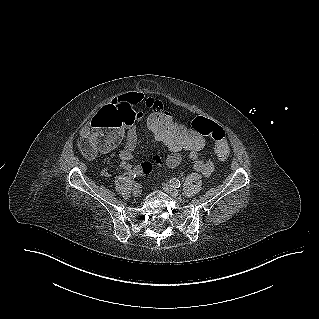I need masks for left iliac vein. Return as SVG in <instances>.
Segmentation results:
<instances>
[{"instance_id": "4c4485c4", "label": "left iliac vein", "mask_w": 319, "mask_h": 319, "mask_svg": "<svg viewBox=\"0 0 319 319\" xmlns=\"http://www.w3.org/2000/svg\"><path fill=\"white\" fill-rule=\"evenodd\" d=\"M163 189L172 197H178L179 191L169 183H163Z\"/></svg>"}]
</instances>
